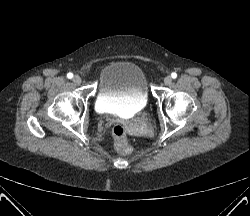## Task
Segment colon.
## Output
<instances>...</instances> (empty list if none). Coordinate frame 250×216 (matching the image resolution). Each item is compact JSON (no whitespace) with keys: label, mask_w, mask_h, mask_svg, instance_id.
Returning <instances> with one entry per match:
<instances>
[{"label":"colon","mask_w":250,"mask_h":216,"mask_svg":"<svg viewBox=\"0 0 250 216\" xmlns=\"http://www.w3.org/2000/svg\"><path fill=\"white\" fill-rule=\"evenodd\" d=\"M115 147L122 153H129L132 150L125 127L121 123H117L112 128Z\"/></svg>","instance_id":"obj_1"}]
</instances>
